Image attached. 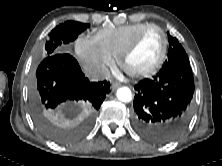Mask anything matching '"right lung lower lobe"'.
I'll return each instance as SVG.
<instances>
[{"instance_id":"1","label":"right lung lower lobe","mask_w":222,"mask_h":166,"mask_svg":"<svg viewBox=\"0 0 222 166\" xmlns=\"http://www.w3.org/2000/svg\"><path fill=\"white\" fill-rule=\"evenodd\" d=\"M110 82H90L77 60L68 53L48 55L36 70V86L31 94V109L54 119L67 117V109L84 102L86 109L76 119L81 124L75 131L64 132L67 141L76 139L86 129L95 111L110 92Z\"/></svg>"}]
</instances>
